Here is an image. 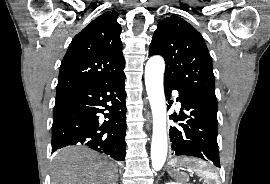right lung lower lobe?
Listing matches in <instances>:
<instances>
[{"label": "right lung lower lobe", "mask_w": 270, "mask_h": 184, "mask_svg": "<svg viewBox=\"0 0 270 184\" xmlns=\"http://www.w3.org/2000/svg\"><path fill=\"white\" fill-rule=\"evenodd\" d=\"M124 80L123 72L102 82L56 92L52 153L64 146L83 144L117 161L125 159ZM100 113L109 120L100 122Z\"/></svg>", "instance_id": "98d812e1"}]
</instances>
